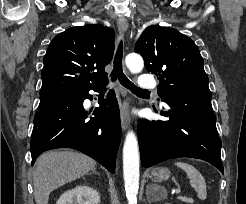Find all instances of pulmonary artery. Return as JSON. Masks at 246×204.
Returning <instances> with one entry per match:
<instances>
[{
	"label": "pulmonary artery",
	"mask_w": 246,
	"mask_h": 204,
	"mask_svg": "<svg viewBox=\"0 0 246 204\" xmlns=\"http://www.w3.org/2000/svg\"><path fill=\"white\" fill-rule=\"evenodd\" d=\"M138 85L141 89L151 90L156 87V81L149 74H143L139 77Z\"/></svg>",
	"instance_id": "obj_1"
}]
</instances>
